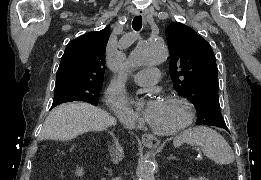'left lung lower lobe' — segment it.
<instances>
[{
	"label": "left lung lower lobe",
	"mask_w": 261,
	"mask_h": 180,
	"mask_svg": "<svg viewBox=\"0 0 261 180\" xmlns=\"http://www.w3.org/2000/svg\"><path fill=\"white\" fill-rule=\"evenodd\" d=\"M223 128L228 131L227 127H223Z\"/></svg>",
	"instance_id": "1"
}]
</instances>
